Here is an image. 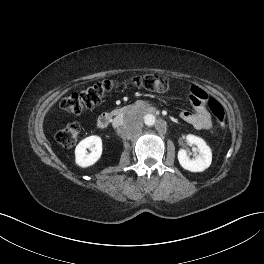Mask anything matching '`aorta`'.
<instances>
[{"mask_svg": "<svg viewBox=\"0 0 264 264\" xmlns=\"http://www.w3.org/2000/svg\"><path fill=\"white\" fill-rule=\"evenodd\" d=\"M143 121L147 126H153L156 123V118L153 114H146L143 117Z\"/></svg>", "mask_w": 264, "mask_h": 264, "instance_id": "1", "label": "aorta"}]
</instances>
